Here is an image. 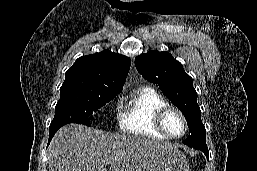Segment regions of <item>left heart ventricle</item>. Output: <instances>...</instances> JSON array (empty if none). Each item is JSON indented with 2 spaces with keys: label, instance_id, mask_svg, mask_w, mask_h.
Masks as SVG:
<instances>
[{
  "label": "left heart ventricle",
  "instance_id": "b2bd125f",
  "mask_svg": "<svg viewBox=\"0 0 257 171\" xmlns=\"http://www.w3.org/2000/svg\"><path fill=\"white\" fill-rule=\"evenodd\" d=\"M164 124L171 135L178 136L183 132V122L180 116L174 111H171L166 115Z\"/></svg>",
  "mask_w": 257,
  "mask_h": 171
}]
</instances>
